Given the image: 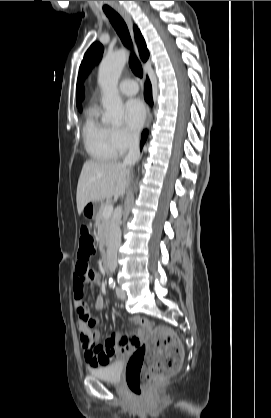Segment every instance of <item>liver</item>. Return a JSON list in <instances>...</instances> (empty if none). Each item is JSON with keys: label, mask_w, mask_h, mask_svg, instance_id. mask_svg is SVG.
<instances>
[{"label": "liver", "mask_w": 271, "mask_h": 418, "mask_svg": "<svg viewBox=\"0 0 271 418\" xmlns=\"http://www.w3.org/2000/svg\"><path fill=\"white\" fill-rule=\"evenodd\" d=\"M128 177L129 170L120 162L86 161L77 185L78 214L89 202L117 199L124 193Z\"/></svg>", "instance_id": "liver-1"}]
</instances>
